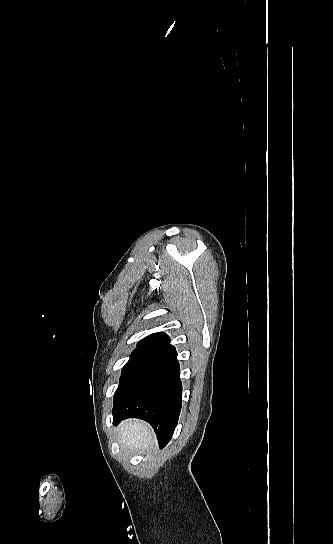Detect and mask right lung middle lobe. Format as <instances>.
Returning a JSON list of instances; mask_svg holds the SVG:
<instances>
[{
	"instance_id": "dd1d6c3e",
	"label": "right lung middle lobe",
	"mask_w": 333,
	"mask_h": 544,
	"mask_svg": "<svg viewBox=\"0 0 333 544\" xmlns=\"http://www.w3.org/2000/svg\"><path fill=\"white\" fill-rule=\"evenodd\" d=\"M150 352L151 349L137 348L131 353L129 361L122 369L119 387L116 393H118V391H120V389L125 385V383L134 374L140 364L148 357Z\"/></svg>"
}]
</instances>
